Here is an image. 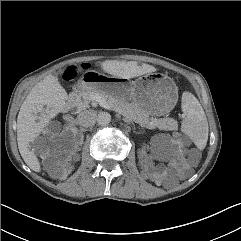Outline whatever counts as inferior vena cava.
<instances>
[{"label":"inferior vena cava","instance_id":"inferior-vena-cava-1","mask_svg":"<svg viewBox=\"0 0 241 241\" xmlns=\"http://www.w3.org/2000/svg\"><path fill=\"white\" fill-rule=\"evenodd\" d=\"M97 113L94 110H84L80 112L77 116V123L81 127H90L94 125Z\"/></svg>","mask_w":241,"mask_h":241}]
</instances>
